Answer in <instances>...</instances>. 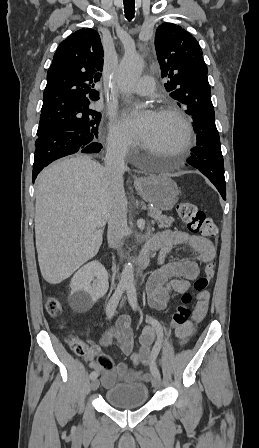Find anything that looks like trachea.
<instances>
[{"instance_id":"3493384b","label":"trachea","mask_w":259,"mask_h":448,"mask_svg":"<svg viewBox=\"0 0 259 448\" xmlns=\"http://www.w3.org/2000/svg\"><path fill=\"white\" fill-rule=\"evenodd\" d=\"M124 12L128 20H132L135 13V0H123Z\"/></svg>"}]
</instances>
